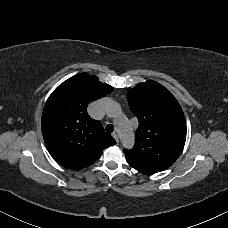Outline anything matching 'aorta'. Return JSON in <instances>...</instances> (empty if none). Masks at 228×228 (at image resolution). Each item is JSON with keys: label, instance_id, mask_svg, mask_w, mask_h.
<instances>
[{"label": "aorta", "instance_id": "1", "mask_svg": "<svg viewBox=\"0 0 228 228\" xmlns=\"http://www.w3.org/2000/svg\"><path fill=\"white\" fill-rule=\"evenodd\" d=\"M107 114L115 117V124L118 128L122 144L125 148H130L134 143V132L128 120L121 114L120 105L112 101L107 105Z\"/></svg>", "mask_w": 228, "mask_h": 228}]
</instances>
